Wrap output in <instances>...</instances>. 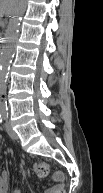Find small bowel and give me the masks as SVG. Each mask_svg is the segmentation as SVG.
I'll use <instances>...</instances> for the list:
<instances>
[{
	"instance_id": "c3829d8e",
	"label": "small bowel",
	"mask_w": 103,
	"mask_h": 193,
	"mask_svg": "<svg viewBox=\"0 0 103 193\" xmlns=\"http://www.w3.org/2000/svg\"><path fill=\"white\" fill-rule=\"evenodd\" d=\"M9 180H10V173L8 171H3L1 173V193H8L9 192ZM12 193H22L19 189H15ZM44 193H63V186L60 183H56L51 188L45 190Z\"/></svg>"
}]
</instances>
